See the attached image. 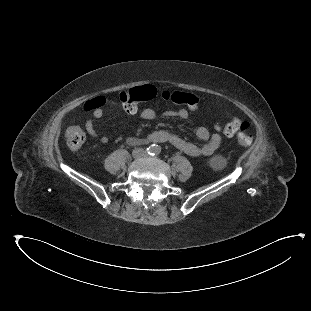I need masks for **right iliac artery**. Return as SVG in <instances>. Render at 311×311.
<instances>
[{"instance_id": "82829eb1", "label": "right iliac artery", "mask_w": 311, "mask_h": 311, "mask_svg": "<svg viewBox=\"0 0 311 311\" xmlns=\"http://www.w3.org/2000/svg\"><path fill=\"white\" fill-rule=\"evenodd\" d=\"M147 153L150 154V155H153V152H154V148L153 147H149L146 149Z\"/></svg>"}]
</instances>
